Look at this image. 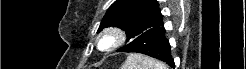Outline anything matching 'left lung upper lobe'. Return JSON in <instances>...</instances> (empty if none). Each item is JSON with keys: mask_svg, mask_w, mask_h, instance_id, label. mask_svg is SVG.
Listing matches in <instances>:
<instances>
[{"mask_svg": "<svg viewBox=\"0 0 246 69\" xmlns=\"http://www.w3.org/2000/svg\"><path fill=\"white\" fill-rule=\"evenodd\" d=\"M156 0H116L108 9L99 29L110 26L126 31L127 40L132 41L147 30L163 24Z\"/></svg>", "mask_w": 246, "mask_h": 69, "instance_id": "obj_1", "label": "left lung upper lobe"}]
</instances>
